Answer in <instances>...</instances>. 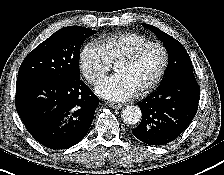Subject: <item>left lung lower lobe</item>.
I'll list each match as a JSON object with an SVG mask.
<instances>
[{
	"mask_svg": "<svg viewBox=\"0 0 224 175\" xmlns=\"http://www.w3.org/2000/svg\"><path fill=\"white\" fill-rule=\"evenodd\" d=\"M199 94L193 72H181L164 80L154 93L138 103L142 121L133 129V135L154 146L172 142L195 117Z\"/></svg>",
	"mask_w": 224,
	"mask_h": 175,
	"instance_id": "left-lung-lower-lobe-1",
	"label": "left lung lower lobe"
}]
</instances>
